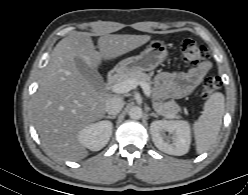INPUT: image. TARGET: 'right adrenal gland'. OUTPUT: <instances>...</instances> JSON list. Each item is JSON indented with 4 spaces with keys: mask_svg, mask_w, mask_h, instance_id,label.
Listing matches in <instances>:
<instances>
[{
    "mask_svg": "<svg viewBox=\"0 0 248 195\" xmlns=\"http://www.w3.org/2000/svg\"><path fill=\"white\" fill-rule=\"evenodd\" d=\"M104 118L106 119H115L116 118V115H108V116H104Z\"/></svg>",
    "mask_w": 248,
    "mask_h": 195,
    "instance_id": "obj_1",
    "label": "right adrenal gland"
}]
</instances>
